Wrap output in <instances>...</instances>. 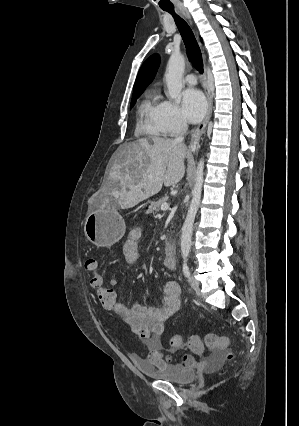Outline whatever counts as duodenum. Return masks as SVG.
Returning <instances> with one entry per match:
<instances>
[{
  "label": "duodenum",
  "instance_id": "obj_1",
  "mask_svg": "<svg viewBox=\"0 0 299 426\" xmlns=\"http://www.w3.org/2000/svg\"><path fill=\"white\" fill-rule=\"evenodd\" d=\"M164 252L166 258L170 260H175L176 257V248L171 241H167L164 246Z\"/></svg>",
  "mask_w": 299,
  "mask_h": 426
}]
</instances>
